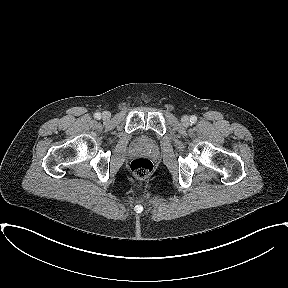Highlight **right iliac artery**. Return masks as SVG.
Segmentation results:
<instances>
[{
	"instance_id": "obj_1",
	"label": "right iliac artery",
	"mask_w": 288,
	"mask_h": 288,
	"mask_svg": "<svg viewBox=\"0 0 288 288\" xmlns=\"http://www.w3.org/2000/svg\"><path fill=\"white\" fill-rule=\"evenodd\" d=\"M94 117H95L96 119H100V118H101V114L97 112V113L94 114Z\"/></svg>"
}]
</instances>
